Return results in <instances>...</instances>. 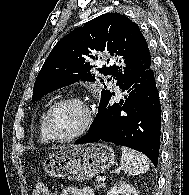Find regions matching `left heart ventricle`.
Returning <instances> with one entry per match:
<instances>
[{
    "label": "left heart ventricle",
    "mask_w": 189,
    "mask_h": 195,
    "mask_svg": "<svg viewBox=\"0 0 189 195\" xmlns=\"http://www.w3.org/2000/svg\"><path fill=\"white\" fill-rule=\"evenodd\" d=\"M86 120L85 110L77 104H65L59 107L51 118V127L55 135L66 137L78 132Z\"/></svg>",
    "instance_id": "1"
}]
</instances>
